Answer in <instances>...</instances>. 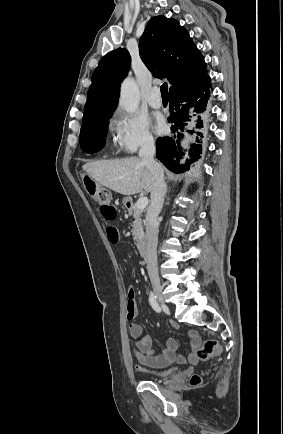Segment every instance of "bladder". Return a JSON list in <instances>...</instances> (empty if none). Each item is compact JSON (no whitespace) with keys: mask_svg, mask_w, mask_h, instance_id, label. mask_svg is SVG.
Instances as JSON below:
<instances>
[{"mask_svg":"<svg viewBox=\"0 0 283 434\" xmlns=\"http://www.w3.org/2000/svg\"><path fill=\"white\" fill-rule=\"evenodd\" d=\"M144 373L153 379H161L176 374L177 368L171 367L164 370H145Z\"/></svg>","mask_w":283,"mask_h":434,"instance_id":"obj_1","label":"bladder"}]
</instances>
